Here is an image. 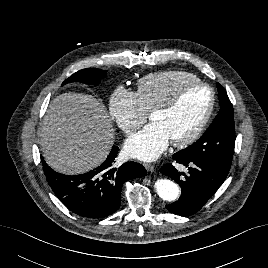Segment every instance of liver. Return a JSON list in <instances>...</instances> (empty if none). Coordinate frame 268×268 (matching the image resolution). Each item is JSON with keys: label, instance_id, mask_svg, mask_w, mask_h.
I'll use <instances>...</instances> for the list:
<instances>
[{"label": "liver", "instance_id": "obj_1", "mask_svg": "<svg viewBox=\"0 0 268 268\" xmlns=\"http://www.w3.org/2000/svg\"><path fill=\"white\" fill-rule=\"evenodd\" d=\"M114 137L103 104L91 95L64 93L50 102L41 127L40 146L52 169L75 175L100 165Z\"/></svg>", "mask_w": 268, "mask_h": 268}]
</instances>
